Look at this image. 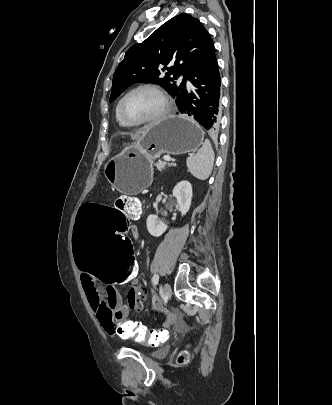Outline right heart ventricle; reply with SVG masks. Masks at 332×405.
Returning a JSON list of instances; mask_svg holds the SVG:
<instances>
[{
  "label": "right heart ventricle",
  "mask_w": 332,
  "mask_h": 405,
  "mask_svg": "<svg viewBox=\"0 0 332 405\" xmlns=\"http://www.w3.org/2000/svg\"><path fill=\"white\" fill-rule=\"evenodd\" d=\"M115 118H116V121L118 122V124H119L120 126H122V127H128V126H129L128 124H126L125 122H123V121L121 120V118L119 117V114H118V103H117L116 108H115Z\"/></svg>",
  "instance_id": "1"
}]
</instances>
